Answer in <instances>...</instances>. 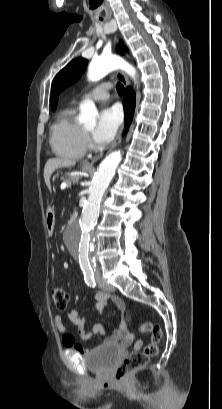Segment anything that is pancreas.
I'll return each mask as SVG.
<instances>
[{
    "label": "pancreas",
    "mask_w": 222,
    "mask_h": 409,
    "mask_svg": "<svg viewBox=\"0 0 222 409\" xmlns=\"http://www.w3.org/2000/svg\"><path fill=\"white\" fill-rule=\"evenodd\" d=\"M81 177L79 175H67L63 178V182L67 183L68 186H71L72 183L78 182Z\"/></svg>",
    "instance_id": "cf45deb5"
}]
</instances>
